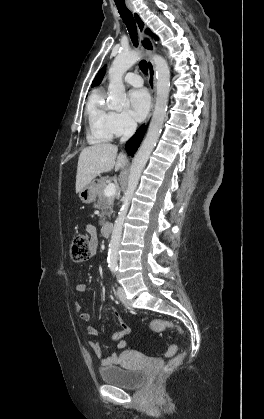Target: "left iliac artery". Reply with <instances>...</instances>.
Returning <instances> with one entry per match:
<instances>
[{"instance_id": "1", "label": "left iliac artery", "mask_w": 264, "mask_h": 419, "mask_svg": "<svg viewBox=\"0 0 264 419\" xmlns=\"http://www.w3.org/2000/svg\"><path fill=\"white\" fill-rule=\"evenodd\" d=\"M112 270L115 272L117 270V268H113Z\"/></svg>"}]
</instances>
